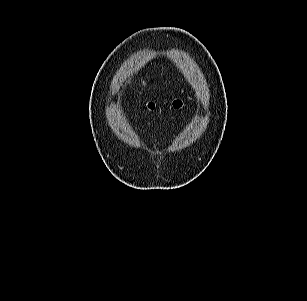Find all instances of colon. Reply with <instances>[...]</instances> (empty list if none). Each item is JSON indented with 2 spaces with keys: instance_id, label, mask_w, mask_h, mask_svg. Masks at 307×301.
<instances>
[{
  "instance_id": "1",
  "label": "colon",
  "mask_w": 307,
  "mask_h": 301,
  "mask_svg": "<svg viewBox=\"0 0 307 301\" xmlns=\"http://www.w3.org/2000/svg\"><path fill=\"white\" fill-rule=\"evenodd\" d=\"M182 102L180 100H175L173 102V107L174 108H179L181 106Z\"/></svg>"
}]
</instances>
